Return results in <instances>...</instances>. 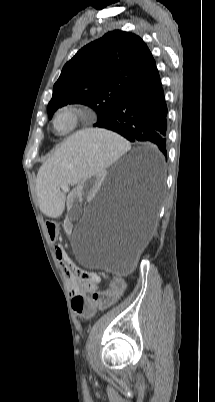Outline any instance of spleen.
<instances>
[{
	"mask_svg": "<svg viewBox=\"0 0 215 402\" xmlns=\"http://www.w3.org/2000/svg\"><path fill=\"white\" fill-rule=\"evenodd\" d=\"M128 149L129 144L118 135L102 128H81L41 168L40 209L48 216H59L64 209L62 186L77 183L99 170L105 174V168Z\"/></svg>",
	"mask_w": 215,
	"mask_h": 402,
	"instance_id": "spleen-1",
	"label": "spleen"
}]
</instances>
